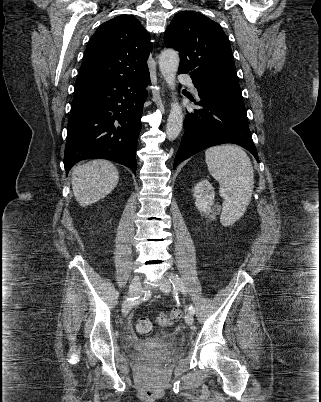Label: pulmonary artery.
Masks as SVG:
<instances>
[{"label":"pulmonary artery","mask_w":321,"mask_h":402,"mask_svg":"<svg viewBox=\"0 0 321 402\" xmlns=\"http://www.w3.org/2000/svg\"><path fill=\"white\" fill-rule=\"evenodd\" d=\"M178 82L181 84H188L192 86V90L195 92L196 89L192 85V78L187 74H181L178 76Z\"/></svg>","instance_id":"obj_1"}]
</instances>
